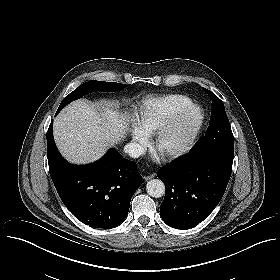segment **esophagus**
Segmentation results:
<instances>
[{"mask_svg":"<svg viewBox=\"0 0 280 280\" xmlns=\"http://www.w3.org/2000/svg\"><path fill=\"white\" fill-rule=\"evenodd\" d=\"M154 177H155V174L152 173V174H150V175H148V176H143V179H145V180H150V179H152V178H154Z\"/></svg>","mask_w":280,"mask_h":280,"instance_id":"esophagus-1","label":"esophagus"}]
</instances>
